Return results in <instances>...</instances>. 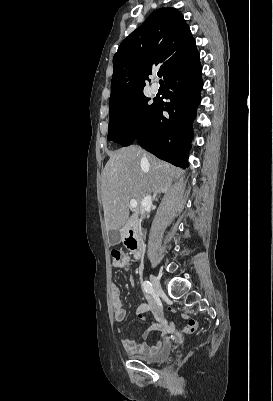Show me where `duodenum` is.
I'll use <instances>...</instances> for the list:
<instances>
[{
    "instance_id": "1",
    "label": "duodenum",
    "mask_w": 273,
    "mask_h": 401,
    "mask_svg": "<svg viewBox=\"0 0 273 401\" xmlns=\"http://www.w3.org/2000/svg\"><path fill=\"white\" fill-rule=\"evenodd\" d=\"M124 243L130 250L134 259L140 257L143 250V243L139 233V225L136 220H130L127 224Z\"/></svg>"
}]
</instances>
